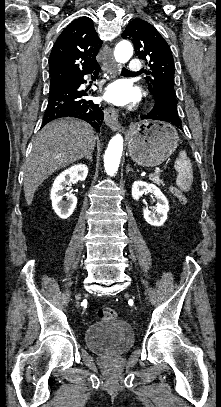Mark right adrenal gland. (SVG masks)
Segmentation results:
<instances>
[{
  "instance_id": "obj_1",
  "label": "right adrenal gland",
  "mask_w": 221,
  "mask_h": 407,
  "mask_svg": "<svg viewBox=\"0 0 221 407\" xmlns=\"http://www.w3.org/2000/svg\"><path fill=\"white\" fill-rule=\"evenodd\" d=\"M86 159H89L91 162L93 161L92 159V153L88 154L87 156H85Z\"/></svg>"
}]
</instances>
